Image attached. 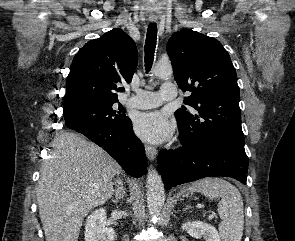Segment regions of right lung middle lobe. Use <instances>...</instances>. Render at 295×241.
I'll return each instance as SVG.
<instances>
[{"instance_id":"dd1d6c3e","label":"right lung middle lobe","mask_w":295,"mask_h":241,"mask_svg":"<svg viewBox=\"0 0 295 241\" xmlns=\"http://www.w3.org/2000/svg\"><path fill=\"white\" fill-rule=\"evenodd\" d=\"M114 103L94 104L79 107L64 112L66 126L69 128L86 122H100L113 126H124L128 123L129 118L125 116L124 110L119 105V111L114 110Z\"/></svg>"}]
</instances>
